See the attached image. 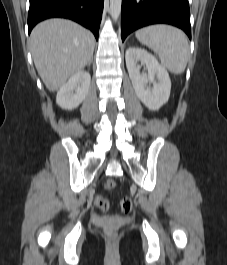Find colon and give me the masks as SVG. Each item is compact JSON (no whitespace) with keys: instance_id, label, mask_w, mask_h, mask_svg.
<instances>
[{"instance_id":"colon-1","label":"colon","mask_w":227,"mask_h":265,"mask_svg":"<svg viewBox=\"0 0 227 265\" xmlns=\"http://www.w3.org/2000/svg\"><path fill=\"white\" fill-rule=\"evenodd\" d=\"M116 184L112 179H108L104 182V187L107 190H113L115 188ZM95 205L102 211H106L109 207V201L102 196H97L95 198ZM120 210L123 213H130L133 209V203L131 199L124 198L120 201L119 204ZM107 235L109 238L113 239L115 237V233L113 231H108Z\"/></svg>"}]
</instances>
